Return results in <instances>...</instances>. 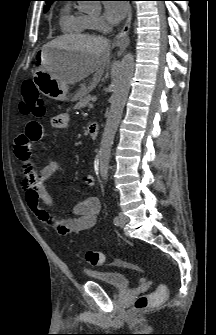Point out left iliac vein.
Wrapping results in <instances>:
<instances>
[{
	"label": "left iliac vein",
	"mask_w": 216,
	"mask_h": 335,
	"mask_svg": "<svg viewBox=\"0 0 216 335\" xmlns=\"http://www.w3.org/2000/svg\"><path fill=\"white\" fill-rule=\"evenodd\" d=\"M127 222H128V218L123 213H119V222L116 225L120 227H124Z\"/></svg>",
	"instance_id": "4c4485c4"
}]
</instances>
